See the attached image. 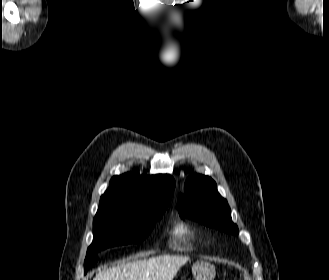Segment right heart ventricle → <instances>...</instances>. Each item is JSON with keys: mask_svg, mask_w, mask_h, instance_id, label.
Returning <instances> with one entry per match:
<instances>
[{"mask_svg": "<svg viewBox=\"0 0 329 280\" xmlns=\"http://www.w3.org/2000/svg\"><path fill=\"white\" fill-rule=\"evenodd\" d=\"M172 234L175 246H179L193 237L192 230L183 222H178L174 225Z\"/></svg>", "mask_w": 329, "mask_h": 280, "instance_id": "e07e8e85", "label": "right heart ventricle"}]
</instances>
